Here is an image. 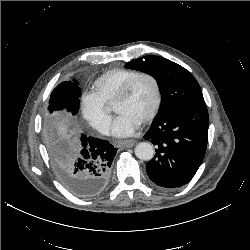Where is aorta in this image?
Masks as SVG:
<instances>
[{
	"label": "aorta",
	"instance_id": "1",
	"mask_svg": "<svg viewBox=\"0 0 250 250\" xmlns=\"http://www.w3.org/2000/svg\"><path fill=\"white\" fill-rule=\"evenodd\" d=\"M135 155L141 160H151L154 157V148L148 142H140L135 147Z\"/></svg>",
	"mask_w": 250,
	"mask_h": 250
}]
</instances>
